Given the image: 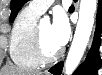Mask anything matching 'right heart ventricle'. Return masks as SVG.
Returning a JSON list of instances; mask_svg holds the SVG:
<instances>
[{"instance_id":"obj_1","label":"right heart ventricle","mask_w":102,"mask_h":75,"mask_svg":"<svg viewBox=\"0 0 102 75\" xmlns=\"http://www.w3.org/2000/svg\"><path fill=\"white\" fill-rule=\"evenodd\" d=\"M39 16L40 14L25 7L15 19L10 37L9 52L12 61L20 67L35 68L39 65L32 46Z\"/></svg>"}]
</instances>
